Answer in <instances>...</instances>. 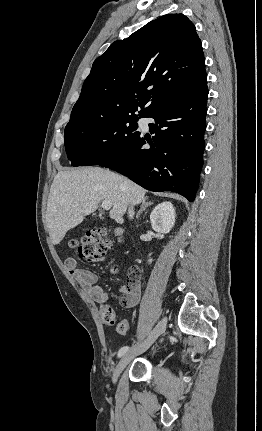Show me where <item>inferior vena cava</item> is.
I'll use <instances>...</instances> for the list:
<instances>
[{"label":"inferior vena cava","mask_w":262,"mask_h":431,"mask_svg":"<svg viewBox=\"0 0 262 431\" xmlns=\"http://www.w3.org/2000/svg\"><path fill=\"white\" fill-rule=\"evenodd\" d=\"M128 215H129V218H133L134 216V209L132 205L129 206Z\"/></svg>","instance_id":"inferior-vena-cava-1"}]
</instances>
